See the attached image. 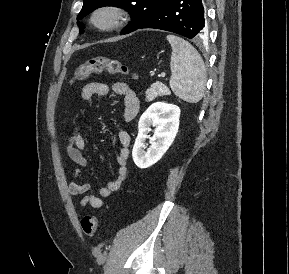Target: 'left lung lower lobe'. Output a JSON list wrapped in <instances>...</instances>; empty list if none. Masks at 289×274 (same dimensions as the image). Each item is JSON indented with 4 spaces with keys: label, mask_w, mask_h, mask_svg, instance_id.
<instances>
[{
    "label": "left lung lower lobe",
    "mask_w": 289,
    "mask_h": 274,
    "mask_svg": "<svg viewBox=\"0 0 289 274\" xmlns=\"http://www.w3.org/2000/svg\"><path fill=\"white\" fill-rule=\"evenodd\" d=\"M143 28L161 29L198 40L206 34L203 0H165L137 29Z\"/></svg>",
    "instance_id": "1"
}]
</instances>
